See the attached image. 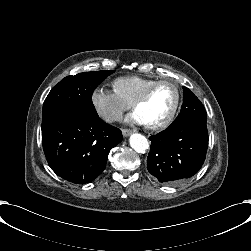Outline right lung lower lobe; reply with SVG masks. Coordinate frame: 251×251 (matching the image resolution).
<instances>
[{"mask_svg": "<svg viewBox=\"0 0 251 251\" xmlns=\"http://www.w3.org/2000/svg\"><path fill=\"white\" fill-rule=\"evenodd\" d=\"M121 131L98 115L68 108L42 123V145L50 168L63 179L85 184L105 169Z\"/></svg>", "mask_w": 251, "mask_h": 251, "instance_id": "1", "label": "right lung lower lobe"}]
</instances>
